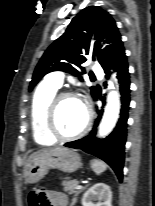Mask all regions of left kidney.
I'll use <instances>...</instances> for the list:
<instances>
[{"label": "left kidney", "mask_w": 155, "mask_h": 206, "mask_svg": "<svg viewBox=\"0 0 155 206\" xmlns=\"http://www.w3.org/2000/svg\"><path fill=\"white\" fill-rule=\"evenodd\" d=\"M94 201H98L94 203ZM112 192L105 183H96L82 197L83 206H112Z\"/></svg>", "instance_id": "1"}]
</instances>
